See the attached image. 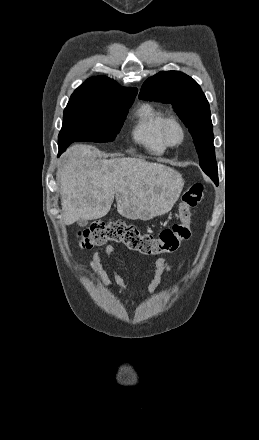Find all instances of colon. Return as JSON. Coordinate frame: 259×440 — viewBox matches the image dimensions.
Returning <instances> with one entry per match:
<instances>
[{"label": "colon", "instance_id": "5ec220e1", "mask_svg": "<svg viewBox=\"0 0 259 440\" xmlns=\"http://www.w3.org/2000/svg\"><path fill=\"white\" fill-rule=\"evenodd\" d=\"M204 199L201 183L192 184L183 194L178 208V222L158 235L141 232L123 221L93 223L80 233V246L91 249L107 242L122 243L143 255L154 256L176 252L191 236V211Z\"/></svg>", "mask_w": 259, "mask_h": 440}]
</instances>
